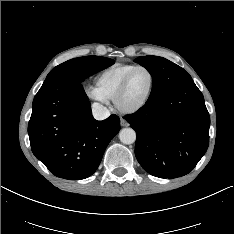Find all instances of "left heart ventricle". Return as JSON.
Returning <instances> with one entry per match:
<instances>
[{"label":"left heart ventricle","instance_id":"obj_1","mask_svg":"<svg viewBox=\"0 0 234 234\" xmlns=\"http://www.w3.org/2000/svg\"><path fill=\"white\" fill-rule=\"evenodd\" d=\"M150 74L146 70H137L131 77L128 89L122 99L124 107H132L140 103L150 87Z\"/></svg>","mask_w":234,"mask_h":234}]
</instances>
